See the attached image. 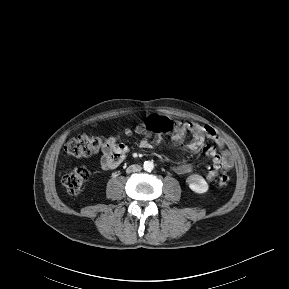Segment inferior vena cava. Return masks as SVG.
Returning <instances> with one entry per match:
<instances>
[{
	"label": "inferior vena cava",
	"instance_id": "inferior-vena-cava-1",
	"mask_svg": "<svg viewBox=\"0 0 289 289\" xmlns=\"http://www.w3.org/2000/svg\"><path fill=\"white\" fill-rule=\"evenodd\" d=\"M126 171L127 173L139 172L141 171V166L134 164V165L129 166Z\"/></svg>",
	"mask_w": 289,
	"mask_h": 289
}]
</instances>
